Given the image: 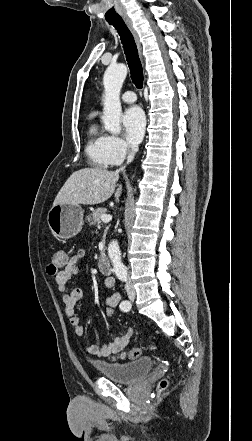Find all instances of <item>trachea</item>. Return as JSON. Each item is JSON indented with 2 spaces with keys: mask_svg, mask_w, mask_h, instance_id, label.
Here are the masks:
<instances>
[{
  "mask_svg": "<svg viewBox=\"0 0 252 441\" xmlns=\"http://www.w3.org/2000/svg\"><path fill=\"white\" fill-rule=\"evenodd\" d=\"M108 23L110 25H113L117 30L121 38V43L123 44L124 52L129 65L131 79L135 86L138 89H141L143 87L144 80L143 68L138 55V50L134 37L122 19L108 21Z\"/></svg>",
  "mask_w": 252,
  "mask_h": 441,
  "instance_id": "trachea-1",
  "label": "trachea"
}]
</instances>
